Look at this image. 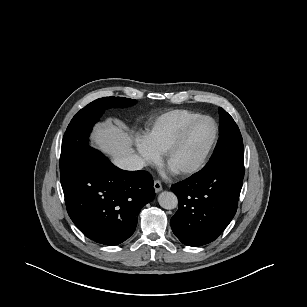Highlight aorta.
<instances>
[{
  "mask_svg": "<svg viewBox=\"0 0 307 307\" xmlns=\"http://www.w3.org/2000/svg\"><path fill=\"white\" fill-rule=\"evenodd\" d=\"M158 202L164 209H175L178 206V198L173 192L164 191L160 193Z\"/></svg>",
  "mask_w": 307,
  "mask_h": 307,
  "instance_id": "obj_1",
  "label": "aorta"
}]
</instances>
